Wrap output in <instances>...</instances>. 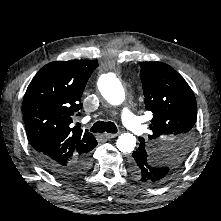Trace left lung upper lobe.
Masks as SVG:
<instances>
[{
	"label": "left lung upper lobe",
	"mask_w": 221,
	"mask_h": 221,
	"mask_svg": "<svg viewBox=\"0 0 221 221\" xmlns=\"http://www.w3.org/2000/svg\"><path fill=\"white\" fill-rule=\"evenodd\" d=\"M140 77L146 109L153 113L150 159L163 172L152 182L158 184L168 180L189 153L195 135L196 99L183 77L167 64L142 62ZM139 140L145 145L143 138Z\"/></svg>",
	"instance_id": "left-lung-upper-lobe-1"
}]
</instances>
